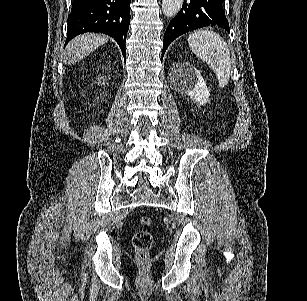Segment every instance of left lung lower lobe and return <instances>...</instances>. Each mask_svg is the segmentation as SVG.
<instances>
[{
	"mask_svg": "<svg viewBox=\"0 0 307 301\" xmlns=\"http://www.w3.org/2000/svg\"><path fill=\"white\" fill-rule=\"evenodd\" d=\"M205 26H219L229 32L222 0H187L184 2L183 8L170 21L165 31L162 58L167 47L177 37Z\"/></svg>",
	"mask_w": 307,
	"mask_h": 301,
	"instance_id": "1",
	"label": "left lung lower lobe"
}]
</instances>
